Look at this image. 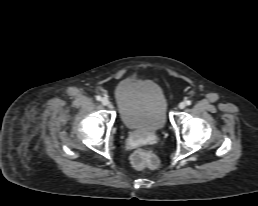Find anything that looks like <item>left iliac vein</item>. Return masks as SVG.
Segmentation results:
<instances>
[{
  "instance_id": "4c4485c4",
  "label": "left iliac vein",
  "mask_w": 258,
  "mask_h": 206,
  "mask_svg": "<svg viewBox=\"0 0 258 206\" xmlns=\"http://www.w3.org/2000/svg\"><path fill=\"white\" fill-rule=\"evenodd\" d=\"M185 106H186V103H185V102H180V103H179V108H180V109H184Z\"/></svg>"
}]
</instances>
